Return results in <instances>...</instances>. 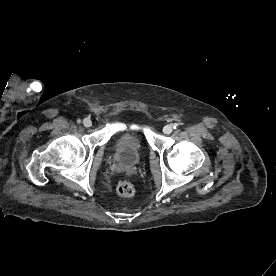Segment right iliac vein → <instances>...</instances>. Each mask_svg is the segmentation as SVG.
Segmentation results:
<instances>
[{"mask_svg": "<svg viewBox=\"0 0 276 276\" xmlns=\"http://www.w3.org/2000/svg\"><path fill=\"white\" fill-rule=\"evenodd\" d=\"M83 125H84L85 127H90V126L92 125L91 119H90V118H85V119L83 120Z\"/></svg>", "mask_w": 276, "mask_h": 276, "instance_id": "obj_1", "label": "right iliac vein"}]
</instances>
